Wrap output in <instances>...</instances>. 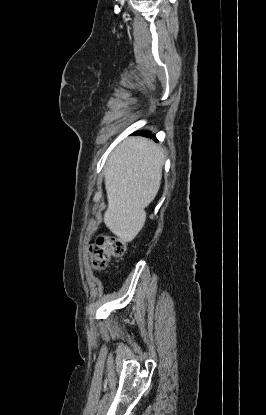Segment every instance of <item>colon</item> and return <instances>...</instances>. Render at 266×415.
Masks as SVG:
<instances>
[{"mask_svg": "<svg viewBox=\"0 0 266 415\" xmlns=\"http://www.w3.org/2000/svg\"><path fill=\"white\" fill-rule=\"evenodd\" d=\"M126 243L113 236H99L90 246V256L97 270L104 269L113 258L124 255Z\"/></svg>", "mask_w": 266, "mask_h": 415, "instance_id": "colon-1", "label": "colon"}]
</instances>
